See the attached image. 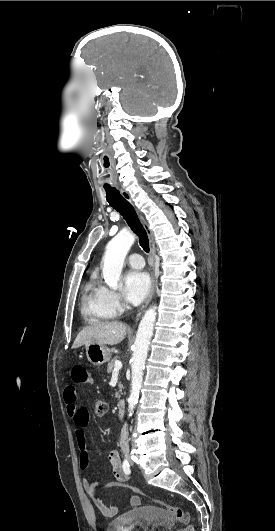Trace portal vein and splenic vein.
<instances>
[{
  "label": "portal vein and splenic vein",
  "mask_w": 275,
  "mask_h": 531,
  "mask_svg": "<svg viewBox=\"0 0 275 531\" xmlns=\"http://www.w3.org/2000/svg\"><path fill=\"white\" fill-rule=\"evenodd\" d=\"M115 369H122L121 361H115L114 371H115Z\"/></svg>",
  "instance_id": "portal-vein-and-splenic-vein-1"
}]
</instances>
